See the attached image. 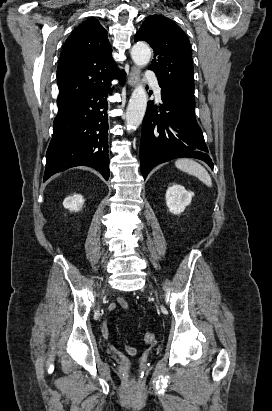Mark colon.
<instances>
[{
  "label": "colon",
  "mask_w": 272,
  "mask_h": 411,
  "mask_svg": "<svg viewBox=\"0 0 272 411\" xmlns=\"http://www.w3.org/2000/svg\"><path fill=\"white\" fill-rule=\"evenodd\" d=\"M143 339L146 343H152L155 340V333L154 332H146L143 336Z\"/></svg>",
  "instance_id": "obj_1"
}]
</instances>
